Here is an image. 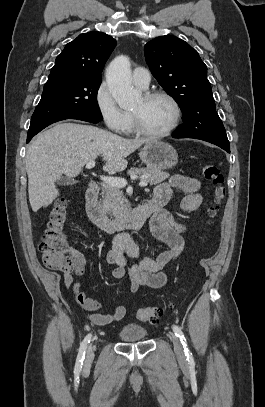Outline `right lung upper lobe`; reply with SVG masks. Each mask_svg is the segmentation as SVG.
Listing matches in <instances>:
<instances>
[{"label": "right lung upper lobe", "instance_id": "obj_1", "mask_svg": "<svg viewBox=\"0 0 265 407\" xmlns=\"http://www.w3.org/2000/svg\"><path fill=\"white\" fill-rule=\"evenodd\" d=\"M115 46L116 40L105 33L91 31L80 34L57 56L49 77L68 74L101 80L104 64Z\"/></svg>", "mask_w": 265, "mask_h": 407}]
</instances>
